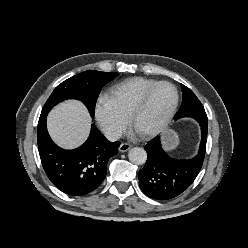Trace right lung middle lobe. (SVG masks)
<instances>
[{"instance_id":"obj_1","label":"right lung middle lobe","mask_w":248,"mask_h":248,"mask_svg":"<svg viewBox=\"0 0 248 248\" xmlns=\"http://www.w3.org/2000/svg\"><path fill=\"white\" fill-rule=\"evenodd\" d=\"M117 75L118 73L88 70L65 80L54 89L41 115H47L56 104L63 100L77 99L86 105L91 117H94L95 104L101 89Z\"/></svg>"}]
</instances>
